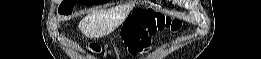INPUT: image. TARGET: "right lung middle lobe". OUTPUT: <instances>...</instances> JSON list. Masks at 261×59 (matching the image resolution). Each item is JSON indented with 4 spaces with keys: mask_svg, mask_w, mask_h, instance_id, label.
<instances>
[{
    "mask_svg": "<svg viewBox=\"0 0 261 59\" xmlns=\"http://www.w3.org/2000/svg\"><path fill=\"white\" fill-rule=\"evenodd\" d=\"M79 2L81 4H84V5H95V4L106 3L108 1L107 0H81V1H79V0H64L59 6V13L64 14V15L71 14L74 5H76Z\"/></svg>",
    "mask_w": 261,
    "mask_h": 59,
    "instance_id": "obj_1",
    "label": "right lung middle lobe"
}]
</instances>
